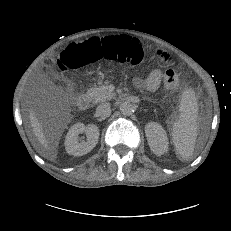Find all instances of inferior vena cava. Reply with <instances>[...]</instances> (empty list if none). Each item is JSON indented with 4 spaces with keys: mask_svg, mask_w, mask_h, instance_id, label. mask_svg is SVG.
<instances>
[{
    "mask_svg": "<svg viewBox=\"0 0 231 231\" xmlns=\"http://www.w3.org/2000/svg\"><path fill=\"white\" fill-rule=\"evenodd\" d=\"M110 107H111L110 103L99 104L96 108L97 115L102 116V115L109 113Z\"/></svg>",
    "mask_w": 231,
    "mask_h": 231,
    "instance_id": "602c4592",
    "label": "inferior vena cava"
}]
</instances>
